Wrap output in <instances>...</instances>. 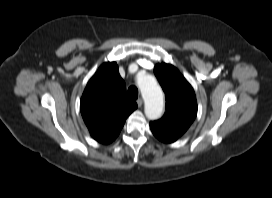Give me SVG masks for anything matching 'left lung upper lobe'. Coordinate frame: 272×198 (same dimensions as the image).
Instances as JSON below:
<instances>
[{"mask_svg":"<svg viewBox=\"0 0 272 198\" xmlns=\"http://www.w3.org/2000/svg\"><path fill=\"white\" fill-rule=\"evenodd\" d=\"M163 91L165 92L166 113L150 123L167 133L180 137L197 115V102L193 88L171 64L161 63L154 68Z\"/></svg>","mask_w":272,"mask_h":198,"instance_id":"left-lung-upper-lobe-1","label":"left lung upper lobe"}]
</instances>
